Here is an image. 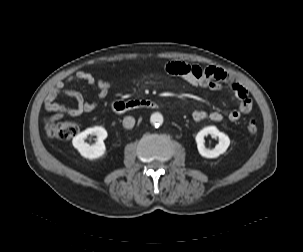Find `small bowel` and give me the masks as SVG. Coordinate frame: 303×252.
Here are the masks:
<instances>
[{
	"mask_svg": "<svg viewBox=\"0 0 303 252\" xmlns=\"http://www.w3.org/2000/svg\"><path fill=\"white\" fill-rule=\"evenodd\" d=\"M165 70L170 75L181 78L185 83L207 88L214 91L230 90L238 100L237 108L230 111L228 118L232 122H236L241 116L248 114L252 110V100L247 89L230 77L227 73L213 67H202L199 65L188 64L184 62H168ZM72 82H86L89 86L96 89V99L86 100L84 96L75 90L67 88ZM112 82L105 80L103 77H95L84 71H77L74 75L69 76L65 80L57 82L49 91L45 99V109L53 112L51 121L55 122L65 115L70 117H78L83 113L91 112L100 104H103L110 93ZM65 93L77 101L75 108H67L62 104L55 102L58 94ZM114 102L113 104H115ZM224 118L223 114L218 111L195 110L192 112V119L195 122H201L209 119L214 122H220Z\"/></svg>",
	"mask_w": 303,
	"mask_h": 252,
	"instance_id": "1",
	"label": "small bowel"
}]
</instances>
